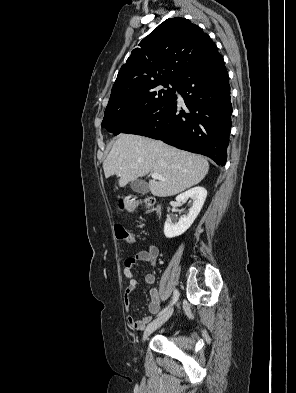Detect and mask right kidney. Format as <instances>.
I'll list each match as a JSON object with an SVG mask.
<instances>
[{"instance_id":"obj_1","label":"right kidney","mask_w":296,"mask_h":393,"mask_svg":"<svg viewBox=\"0 0 296 393\" xmlns=\"http://www.w3.org/2000/svg\"><path fill=\"white\" fill-rule=\"evenodd\" d=\"M207 196V191L203 187H194L176 197V202L181 203L187 199H192L193 204L187 216L181 217L176 224L166 221L164 224V234L167 238L182 235L200 213Z\"/></svg>"}]
</instances>
